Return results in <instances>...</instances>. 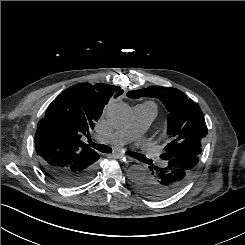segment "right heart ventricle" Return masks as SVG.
<instances>
[{
    "mask_svg": "<svg viewBox=\"0 0 245 245\" xmlns=\"http://www.w3.org/2000/svg\"><path fill=\"white\" fill-rule=\"evenodd\" d=\"M144 104H147V105H150V106L157 108L156 104L154 102H151V101L145 102Z\"/></svg>",
    "mask_w": 245,
    "mask_h": 245,
    "instance_id": "1",
    "label": "right heart ventricle"
}]
</instances>
